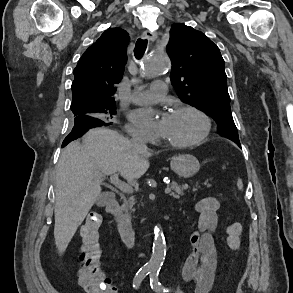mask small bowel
<instances>
[{
    "instance_id": "1",
    "label": "small bowel",
    "mask_w": 293,
    "mask_h": 293,
    "mask_svg": "<svg viewBox=\"0 0 293 293\" xmlns=\"http://www.w3.org/2000/svg\"><path fill=\"white\" fill-rule=\"evenodd\" d=\"M194 209L199 218L190 234L192 252L184 263L183 277L195 282L194 293H209L217 266L215 232L219 222V202L215 197H205L195 204Z\"/></svg>"
}]
</instances>
